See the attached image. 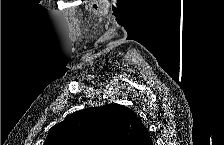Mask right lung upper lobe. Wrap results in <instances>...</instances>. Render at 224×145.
<instances>
[{"instance_id": "right-lung-upper-lobe-1", "label": "right lung upper lobe", "mask_w": 224, "mask_h": 145, "mask_svg": "<svg viewBox=\"0 0 224 145\" xmlns=\"http://www.w3.org/2000/svg\"><path fill=\"white\" fill-rule=\"evenodd\" d=\"M44 145H152L141 120L119 104L86 108L49 130Z\"/></svg>"}]
</instances>
